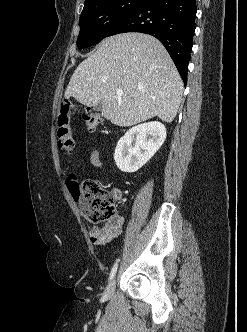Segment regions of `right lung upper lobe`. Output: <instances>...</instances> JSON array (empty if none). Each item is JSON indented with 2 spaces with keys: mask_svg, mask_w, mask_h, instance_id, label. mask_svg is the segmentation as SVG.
<instances>
[{
  "mask_svg": "<svg viewBox=\"0 0 247 332\" xmlns=\"http://www.w3.org/2000/svg\"><path fill=\"white\" fill-rule=\"evenodd\" d=\"M98 1H100V0H85L84 8H87L88 6L94 4V3L98 2Z\"/></svg>",
  "mask_w": 247,
  "mask_h": 332,
  "instance_id": "1",
  "label": "right lung upper lobe"
}]
</instances>
